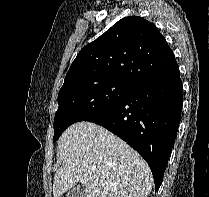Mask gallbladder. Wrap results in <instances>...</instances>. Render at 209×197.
<instances>
[{
    "instance_id": "obj_1",
    "label": "gallbladder",
    "mask_w": 209,
    "mask_h": 197,
    "mask_svg": "<svg viewBox=\"0 0 209 197\" xmlns=\"http://www.w3.org/2000/svg\"><path fill=\"white\" fill-rule=\"evenodd\" d=\"M84 192V187L78 185L70 189L66 197H84Z\"/></svg>"
}]
</instances>
